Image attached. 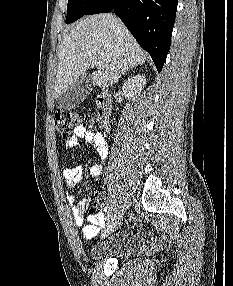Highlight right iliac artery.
<instances>
[{
    "label": "right iliac artery",
    "mask_w": 233,
    "mask_h": 286,
    "mask_svg": "<svg viewBox=\"0 0 233 286\" xmlns=\"http://www.w3.org/2000/svg\"><path fill=\"white\" fill-rule=\"evenodd\" d=\"M116 212H117L116 205H112V206L109 208L108 221H110V220L115 216V213H116Z\"/></svg>",
    "instance_id": "1"
}]
</instances>
